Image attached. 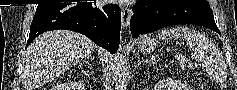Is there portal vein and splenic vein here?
<instances>
[{"label": "portal vein and splenic vein", "instance_id": "1", "mask_svg": "<svg viewBox=\"0 0 237 90\" xmlns=\"http://www.w3.org/2000/svg\"><path fill=\"white\" fill-rule=\"evenodd\" d=\"M182 68H184V66H186L185 62H180Z\"/></svg>", "mask_w": 237, "mask_h": 90}]
</instances>
